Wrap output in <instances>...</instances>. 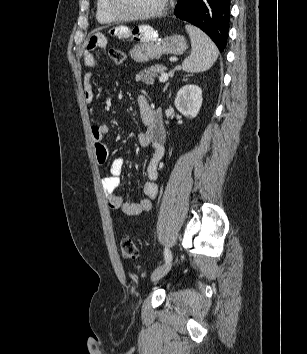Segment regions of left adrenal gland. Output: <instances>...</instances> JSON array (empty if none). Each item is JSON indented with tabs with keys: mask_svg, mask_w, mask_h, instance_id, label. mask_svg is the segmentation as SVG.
<instances>
[{
	"mask_svg": "<svg viewBox=\"0 0 307 354\" xmlns=\"http://www.w3.org/2000/svg\"><path fill=\"white\" fill-rule=\"evenodd\" d=\"M168 86H169V83H167V84L165 85L163 92L166 91V89H167Z\"/></svg>",
	"mask_w": 307,
	"mask_h": 354,
	"instance_id": "obj_1",
	"label": "left adrenal gland"
}]
</instances>
